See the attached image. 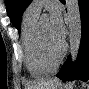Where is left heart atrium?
<instances>
[{
	"label": "left heart atrium",
	"instance_id": "1",
	"mask_svg": "<svg viewBox=\"0 0 89 89\" xmlns=\"http://www.w3.org/2000/svg\"><path fill=\"white\" fill-rule=\"evenodd\" d=\"M50 30L53 38L63 43L66 36V30L61 14L58 11L51 13Z\"/></svg>",
	"mask_w": 89,
	"mask_h": 89
}]
</instances>
